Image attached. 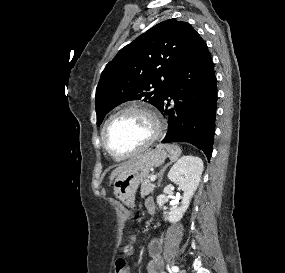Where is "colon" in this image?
<instances>
[{
    "instance_id": "5ec220e1",
    "label": "colon",
    "mask_w": 285,
    "mask_h": 273,
    "mask_svg": "<svg viewBox=\"0 0 285 273\" xmlns=\"http://www.w3.org/2000/svg\"><path fill=\"white\" fill-rule=\"evenodd\" d=\"M132 251H133L132 245H128L124 249V253L126 256L131 255ZM115 273H130L128 261L126 257L117 259L115 263Z\"/></svg>"
}]
</instances>
